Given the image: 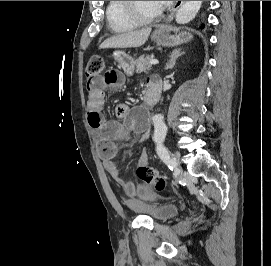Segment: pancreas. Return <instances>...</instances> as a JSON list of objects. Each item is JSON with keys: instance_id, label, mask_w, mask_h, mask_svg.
<instances>
[{"instance_id": "pancreas-1", "label": "pancreas", "mask_w": 271, "mask_h": 266, "mask_svg": "<svg viewBox=\"0 0 271 266\" xmlns=\"http://www.w3.org/2000/svg\"><path fill=\"white\" fill-rule=\"evenodd\" d=\"M153 59V56L142 55L135 61V71L141 73L146 70L151 69L150 61Z\"/></svg>"}]
</instances>
